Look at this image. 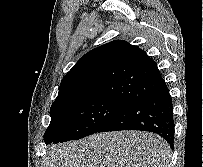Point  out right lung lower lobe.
Listing matches in <instances>:
<instances>
[{
    "label": "right lung lower lobe",
    "mask_w": 203,
    "mask_h": 167,
    "mask_svg": "<svg viewBox=\"0 0 203 167\" xmlns=\"http://www.w3.org/2000/svg\"><path fill=\"white\" fill-rule=\"evenodd\" d=\"M140 130L158 134L174 148V115L166 84L159 90L139 97L99 132ZM52 143H58L53 141Z\"/></svg>",
    "instance_id": "right-lung-lower-lobe-1"
}]
</instances>
